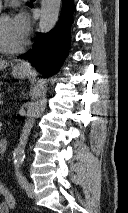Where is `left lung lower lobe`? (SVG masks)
Returning <instances> with one entry per match:
<instances>
[{
    "instance_id": "0a47b994",
    "label": "left lung lower lobe",
    "mask_w": 128,
    "mask_h": 213,
    "mask_svg": "<svg viewBox=\"0 0 128 213\" xmlns=\"http://www.w3.org/2000/svg\"><path fill=\"white\" fill-rule=\"evenodd\" d=\"M28 5L33 7L31 4ZM75 10L73 0H62V13L56 28L46 34L39 33L33 48L18 58L30 60L36 69L46 76L56 73L69 48L70 26Z\"/></svg>"
}]
</instances>
